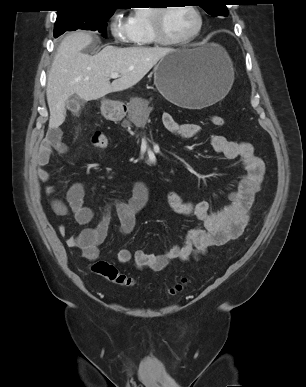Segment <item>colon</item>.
<instances>
[{
    "label": "colon",
    "mask_w": 306,
    "mask_h": 387,
    "mask_svg": "<svg viewBox=\"0 0 306 387\" xmlns=\"http://www.w3.org/2000/svg\"><path fill=\"white\" fill-rule=\"evenodd\" d=\"M210 121L213 125L221 127L226 124V121L223 117L218 115H212L210 117ZM92 143L97 148H106L109 145L108 137L101 132H97L92 137ZM92 271L110 282L122 286V287H133L135 285V281L132 277L127 276L121 273L115 265L104 261L97 260L92 264ZM190 279L188 277L182 278L179 282L169 288L168 292L171 295H177L182 293L186 287L188 286Z\"/></svg>",
    "instance_id": "colon-1"
}]
</instances>
